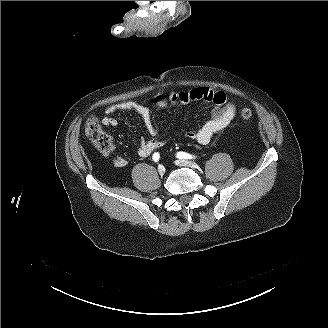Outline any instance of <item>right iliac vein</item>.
Returning <instances> with one entry per match:
<instances>
[{"instance_id": "1", "label": "right iliac vein", "mask_w": 328, "mask_h": 328, "mask_svg": "<svg viewBox=\"0 0 328 328\" xmlns=\"http://www.w3.org/2000/svg\"><path fill=\"white\" fill-rule=\"evenodd\" d=\"M158 172L160 175H164L166 173V168L163 165H159Z\"/></svg>"}]
</instances>
